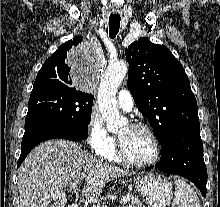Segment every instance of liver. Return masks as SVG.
<instances>
[{
	"mask_svg": "<svg viewBox=\"0 0 220 207\" xmlns=\"http://www.w3.org/2000/svg\"><path fill=\"white\" fill-rule=\"evenodd\" d=\"M132 174L100 161L74 142L49 140L35 147L19 168L20 205L65 207L64 187L73 182L84 183L83 195L94 197L111 179Z\"/></svg>",
	"mask_w": 220,
	"mask_h": 207,
	"instance_id": "liver-1",
	"label": "liver"
}]
</instances>
